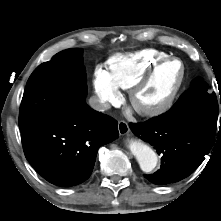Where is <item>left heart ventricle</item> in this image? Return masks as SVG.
<instances>
[{"label": "left heart ventricle", "mask_w": 221, "mask_h": 221, "mask_svg": "<svg viewBox=\"0 0 221 221\" xmlns=\"http://www.w3.org/2000/svg\"><path fill=\"white\" fill-rule=\"evenodd\" d=\"M182 74L179 62L162 66L136 97L138 105L153 107L164 102L177 86Z\"/></svg>", "instance_id": "obj_1"}]
</instances>
